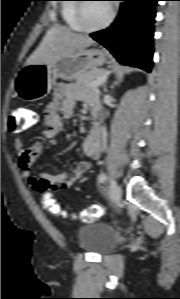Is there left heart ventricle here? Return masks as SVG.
<instances>
[{
  "instance_id": "left-heart-ventricle-1",
  "label": "left heart ventricle",
  "mask_w": 180,
  "mask_h": 299,
  "mask_svg": "<svg viewBox=\"0 0 180 299\" xmlns=\"http://www.w3.org/2000/svg\"><path fill=\"white\" fill-rule=\"evenodd\" d=\"M109 4L105 2L85 3L83 15L87 26H97L105 21L109 14Z\"/></svg>"
}]
</instances>
